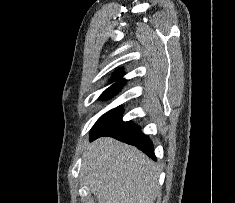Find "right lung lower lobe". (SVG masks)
<instances>
[{
  "instance_id": "right-lung-lower-lobe-1",
  "label": "right lung lower lobe",
  "mask_w": 235,
  "mask_h": 203,
  "mask_svg": "<svg viewBox=\"0 0 235 203\" xmlns=\"http://www.w3.org/2000/svg\"><path fill=\"white\" fill-rule=\"evenodd\" d=\"M101 136H110L122 142L136 146L152 159L156 160L153 144L148 136L132 121H122V111L106 120L91 131L90 141Z\"/></svg>"
}]
</instances>
